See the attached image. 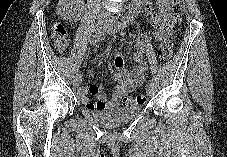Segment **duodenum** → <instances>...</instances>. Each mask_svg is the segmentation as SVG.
Listing matches in <instances>:
<instances>
[{"instance_id": "1", "label": "duodenum", "mask_w": 227, "mask_h": 157, "mask_svg": "<svg viewBox=\"0 0 227 157\" xmlns=\"http://www.w3.org/2000/svg\"><path fill=\"white\" fill-rule=\"evenodd\" d=\"M137 12V7L133 5L132 8L129 10L128 14L124 17V20H130Z\"/></svg>"}]
</instances>
